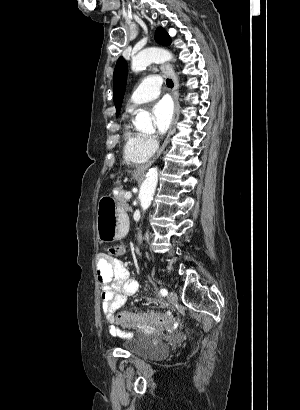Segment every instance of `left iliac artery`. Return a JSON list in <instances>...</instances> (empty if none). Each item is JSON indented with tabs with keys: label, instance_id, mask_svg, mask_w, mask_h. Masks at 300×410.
<instances>
[{
	"label": "left iliac artery",
	"instance_id": "1",
	"mask_svg": "<svg viewBox=\"0 0 300 410\" xmlns=\"http://www.w3.org/2000/svg\"><path fill=\"white\" fill-rule=\"evenodd\" d=\"M160 294H161L162 296H166V295L168 294V291H167L165 288H162V289L160 290Z\"/></svg>",
	"mask_w": 300,
	"mask_h": 410
}]
</instances>
